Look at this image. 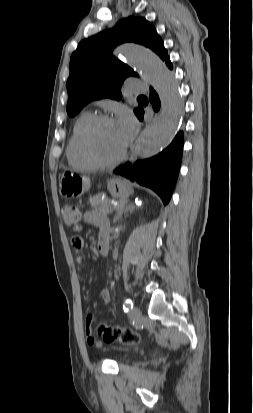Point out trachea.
Here are the masks:
<instances>
[{
	"mask_svg": "<svg viewBox=\"0 0 253 413\" xmlns=\"http://www.w3.org/2000/svg\"><path fill=\"white\" fill-rule=\"evenodd\" d=\"M139 98H145V96L142 95V96H139Z\"/></svg>",
	"mask_w": 253,
	"mask_h": 413,
	"instance_id": "trachea-1",
	"label": "trachea"
}]
</instances>
